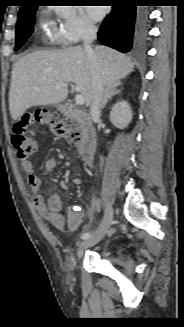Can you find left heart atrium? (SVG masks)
Returning <instances> with one entry per match:
<instances>
[{
    "mask_svg": "<svg viewBox=\"0 0 184 327\" xmlns=\"http://www.w3.org/2000/svg\"><path fill=\"white\" fill-rule=\"evenodd\" d=\"M104 10L101 7H91L89 8V15L94 20H99L102 18Z\"/></svg>",
    "mask_w": 184,
    "mask_h": 327,
    "instance_id": "39dd6f15",
    "label": "left heart atrium"
}]
</instances>
